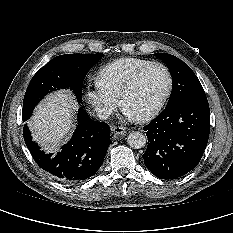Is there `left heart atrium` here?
<instances>
[{
    "label": "left heart atrium",
    "instance_id": "obj_1",
    "mask_svg": "<svg viewBox=\"0 0 233 233\" xmlns=\"http://www.w3.org/2000/svg\"><path fill=\"white\" fill-rule=\"evenodd\" d=\"M124 113L127 117L134 118V116L130 112H128L126 109H124Z\"/></svg>",
    "mask_w": 233,
    "mask_h": 233
}]
</instances>
